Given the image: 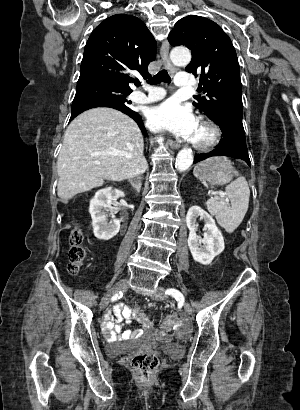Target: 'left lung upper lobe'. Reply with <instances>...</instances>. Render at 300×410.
I'll list each match as a JSON object with an SVG mask.
<instances>
[{
	"label": "left lung upper lobe",
	"instance_id": "obj_1",
	"mask_svg": "<svg viewBox=\"0 0 300 410\" xmlns=\"http://www.w3.org/2000/svg\"><path fill=\"white\" fill-rule=\"evenodd\" d=\"M172 46L184 45L192 52L186 71L200 74L193 105L209 119L230 115L242 120V85L236 51L227 34L215 22L196 15L179 20L168 36Z\"/></svg>",
	"mask_w": 300,
	"mask_h": 410
}]
</instances>
